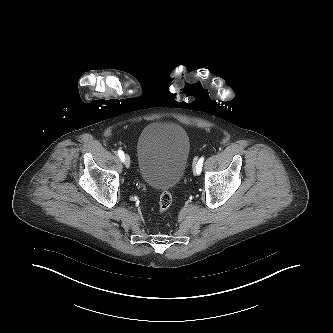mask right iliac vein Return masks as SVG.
I'll use <instances>...</instances> for the list:
<instances>
[{
	"mask_svg": "<svg viewBox=\"0 0 333 333\" xmlns=\"http://www.w3.org/2000/svg\"><path fill=\"white\" fill-rule=\"evenodd\" d=\"M124 164L127 168L130 167V157L128 155H126L124 158Z\"/></svg>",
	"mask_w": 333,
	"mask_h": 333,
	"instance_id": "right-iliac-vein-1",
	"label": "right iliac vein"
}]
</instances>
